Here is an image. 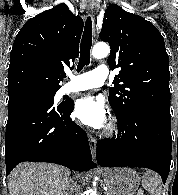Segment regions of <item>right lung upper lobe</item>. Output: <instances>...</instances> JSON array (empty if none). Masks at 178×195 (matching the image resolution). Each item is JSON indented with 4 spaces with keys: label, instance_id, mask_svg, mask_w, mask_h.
<instances>
[{
    "label": "right lung upper lobe",
    "instance_id": "1",
    "mask_svg": "<svg viewBox=\"0 0 178 195\" xmlns=\"http://www.w3.org/2000/svg\"><path fill=\"white\" fill-rule=\"evenodd\" d=\"M82 29V18L66 4L28 20L10 53L9 97L30 90H58L64 66L70 67L79 55Z\"/></svg>",
    "mask_w": 178,
    "mask_h": 195
}]
</instances>
